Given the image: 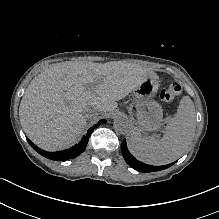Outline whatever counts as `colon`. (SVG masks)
I'll return each instance as SVG.
<instances>
[{
  "instance_id": "1",
  "label": "colon",
  "mask_w": 219,
  "mask_h": 219,
  "mask_svg": "<svg viewBox=\"0 0 219 219\" xmlns=\"http://www.w3.org/2000/svg\"><path fill=\"white\" fill-rule=\"evenodd\" d=\"M182 94V87L180 84L178 83H172L170 86H168L167 88L163 89L160 92V99L163 102H171L177 98H179Z\"/></svg>"
}]
</instances>
